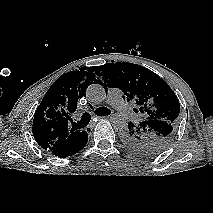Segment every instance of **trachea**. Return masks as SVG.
<instances>
[{"instance_id": "1", "label": "trachea", "mask_w": 213, "mask_h": 213, "mask_svg": "<svg viewBox=\"0 0 213 213\" xmlns=\"http://www.w3.org/2000/svg\"><path fill=\"white\" fill-rule=\"evenodd\" d=\"M110 113L111 111L108 108H104V107H101L95 110V114L98 116H106V115H109ZM90 120H91L90 114L84 113L82 115L81 120L77 123H73L72 127L74 129L86 127L89 124Z\"/></svg>"}]
</instances>
